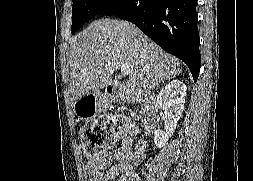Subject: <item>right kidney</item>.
Masks as SVG:
<instances>
[{"label":"right kidney","mask_w":253,"mask_h":181,"mask_svg":"<svg viewBox=\"0 0 253 181\" xmlns=\"http://www.w3.org/2000/svg\"><path fill=\"white\" fill-rule=\"evenodd\" d=\"M187 87L179 80L169 82L158 94L157 104L164 111V128L154 132V142L158 148H162L167 143L177 126V122L184 110Z\"/></svg>","instance_id":"ca27d5eb"}]
</instances>
